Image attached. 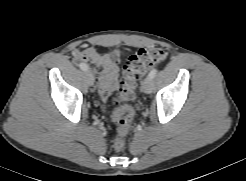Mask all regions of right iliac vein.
Wrapping results in <instances>:
<instances>
[{"mask_svg": "<svg viewBox=\"0 0 246 181\" xmlns=\"http://www.w3.org/2000/svg\"><path fill=\"white\" fill-rule=\"evenodd\" d=\"M85 74L87 76L89 84L92 85L93 84V75H92V73L90 71H86Z\"/></svg>", "mask_w": 246, "mask_h": 181, "instance_id": "63e3f726", "label": "right iliac vein"}]
</instances>
